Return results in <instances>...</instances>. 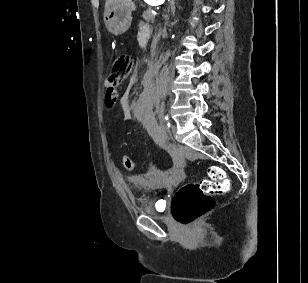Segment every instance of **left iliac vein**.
Returning <instances> with one entry per match:
<instances>
[{"label": "left iliac vein", "instance_id": "left-iliac-vein-1", "mask_svg": "<svg viewBox=\"0 0 308 283\" xmlns=\"http://www.w3.org/2000/svg\"><path fill=\"white\" fill-rule=\"evenodd\" d=\"M177 127L176 125L172 124L170 130L166 135L167 140H173V137L176 135Z\"/></svg>", "mask_w": 308, "mask_h": 283}]
</instances>
